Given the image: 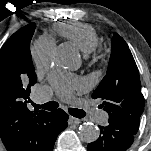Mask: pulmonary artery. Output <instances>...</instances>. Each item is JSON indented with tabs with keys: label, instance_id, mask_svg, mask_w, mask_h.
Wrapping results in <instances>:
<instances>
[{
	"label": "pulmonary artery",
	"instance_id": "e3ab8cb5",
	"mask_svg": "<svg viewBox=\"0 0 151 151\" xmlns=\"http://www.w3.org/2000/svg\"><path fill=\"white\" fill-rule=\"evenodd\" d=\"M50 97H51L50 91L46 88H43L37 93L35 99L38 103H44L49 101ZM93 119L97 123H104L107 119V115L104 112H95L93 114Z\"/></svg>",
	"mask_w": 151,
	"mask_h": 151
}]
</instances>
